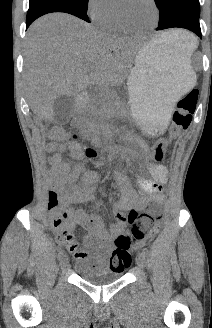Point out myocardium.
<instances>
[{
    "mask_svg": "<svg viewBox=\"0 0 212 328\" xmlns=\"http://www.w3.org/2000/svg\"><path fill=\"white\" fill-rule=\"evenodd\" d=\"M149 2L151 3L154 11H155V20L153 22L152 25L148 26V27H144V28H137V27H133L131 26L125 19L122 11H121V8H120V4H118L117 6V18L120 22V24L122 25V27L128 31V32H132V33H145V32H148L152 29H154L158 22H159V18H160V10H159V7H158V4L156 2V0H149Z\"/></svg>",
    "mask_w": 212,
    "mask_h": 328,
    "instance_id": "obj_1",
    "label": "myocardium"
}]
</instances>
